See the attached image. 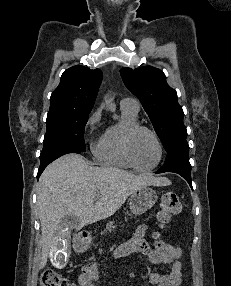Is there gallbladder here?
Instances as JSON below:
<instances>
[{
	"label": "gallbladder",
	"instance_id": "1",
	"mask_svg": "<svg viewBox=\"0 0 231 286\" xmlns=\"http://www.w3.org/2000/svg\"><path fill=\"white\" fill-rule=\"evenodd\" d=\"M79 226V219L76 217L75 213L65 214V217L58 222L57 230H59L58 236H55L51 240L50 251V263L57 269H62L66 267L68 259L70 258V231L72 229H77Z\"/></svg>",
	"mask_w": 231,
	"mask_h": 286
}]
</instances>
